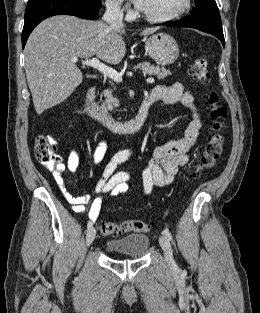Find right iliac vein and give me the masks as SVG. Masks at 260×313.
Returning a JSON list of instances; mask_svg holds the SVG:
<instances>
[{"label": "right iliac vein", "instance_id": "obj_1", "mask_svg": "<svg viewBox=\"0 0 260 313\" xmlns=\"http://www.w3.org/2000/svg\"><path fill=\"white\" fill-rule=\"evenodd\" d=\"M96 231L93 227L89 228L86 234V244L90 246L95 239Z\"/></svg>", "mask_w": 260, "mask_h": 313}]
</instances>
